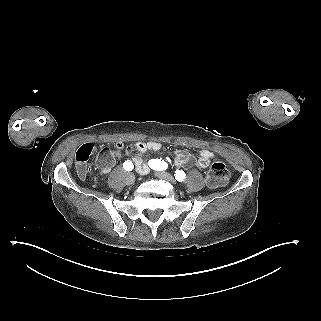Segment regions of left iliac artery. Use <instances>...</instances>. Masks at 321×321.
Segmentation results:
<instances>
[{
	"label": "left iliac artery",
	"mask_w": 321,
	"mask_h": 321,
	"mask_svg": "<svg viewBox=\"0 0 321 321\" xmlns=\"http://www.w3.org/2000/svg\"><path fill=\"white\" fill-rule=\"evenodd\" d=\"M149 166L154 170H165L167 168V164L160 159H152L149 161ZM175 179L179 182L183 181L185 179V173L181 170H176Z\"/></svg>",
	"instance_id": "1"
}]
</instances>
